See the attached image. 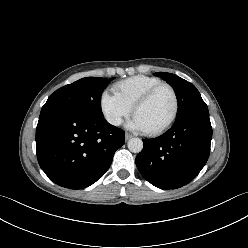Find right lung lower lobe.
Instances as JSON below:
<instances>
[{
	"mask_svg": "<svg viewBox=\"0 0 248 248\" xmlns=\"http://www.w3.org/2000/svg\"><path fill=\"white\" fill-rule=\"evenodd\" d=\"M125 132L104 117L73 108L41 111L36 128L40 167L50 180L82 189L100 179L125 140Z\"/></svg>",
	"mask_w": 248,
	"mask_h": 248,
	"instance_id": "obj_1",
	"label": "right lung lower lobe"
}]
</instances>
